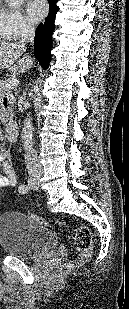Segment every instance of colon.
Instances as JSON below:
<instances>
[{
  "label": "colon",
  "instance_id": "colon-1",
  "mask_svg": "<svg viewBox=\"0 0 129 309\" xmlns=\"http://www.w3.org/2000/svg\"><path fill=\"white\" fill-rule=\"evenodd\" d=\"M30 216L39 223H44V221L35 214H30ZM73 241L76 250L79 252V258L76 264H82L85 262L92 250V235L88 227L80 226L73 232ZM74 264H71L73 266Z\"/></svg>",
  "mask_w": 129,
  "mask_h": 309
}]
</instances>
